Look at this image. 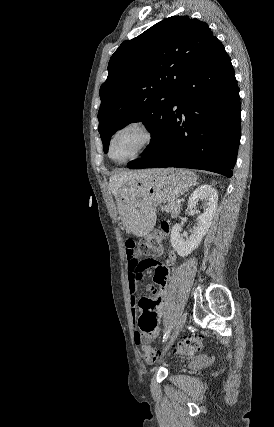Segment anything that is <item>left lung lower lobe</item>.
Instances as JSON below:
<instances>
[{"label":"left lung lower lobe","mask_w":274,"mask_h":427,"mask_svg":"<svg viewBox=\"0 0 274 427\" xmlns=\"http://www.w3.org/2000/svg\"><path fill=\"white\" fill-rule=\"evenodd\" d=\"M231 60L214 36L180 83L153 146L129 168L181 167L233 175L241 137Z\"/></svg>","instance_id":"1"}]
</instances>
